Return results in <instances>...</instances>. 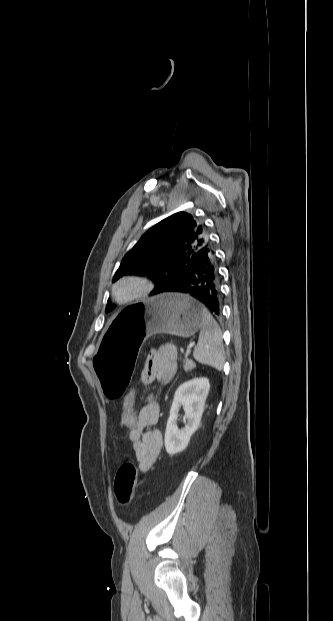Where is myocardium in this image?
Segmentation results:
<instances>
[{
    "label": "myocardium",
    "instance_id": "obj_1",
    "mask_svg": "<svg viewBox=\"0 0 333 621\" xmlns=\"http://www.w3.org/2000/svg\"><path fill=\"white\" fill-rule=\"evenodd\" d=\"M126 283H132L138 286V290L125 298H121L118 294L120 286ZM154 284L151 279L144 275L127 274L118 278L111 287V294L115 301L119 304H131L138 302L151 294Z\"/></svg>",
    "mask_w": 333,
    "mask_h": 621
}]
</instances>
